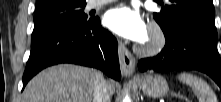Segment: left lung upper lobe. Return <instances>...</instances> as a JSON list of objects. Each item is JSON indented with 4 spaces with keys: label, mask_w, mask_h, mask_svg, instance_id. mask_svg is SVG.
<instances>
[{
    "label": "left lung upper lobe",
    "mask_w": 221,
    "mask_h": 102,
    "mask_svg": "<svg viewBox=\"0 0 221 102\" xmlns=\"http://www.w3.org/2000/svg\"><path fill=\"white\" fill-rule=\"evenodd\" d=\"M170 2L171 4L165 5L159 13L153 14L165 36L182 26L191 25L217 37L212 0H170Z\"/></svg>",
    "instance_id": "1"
}]
</instances>
